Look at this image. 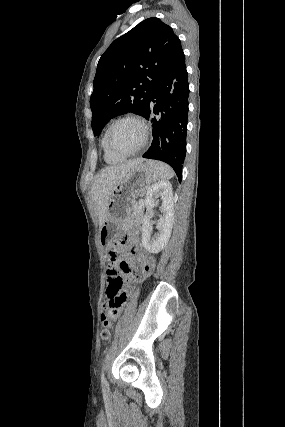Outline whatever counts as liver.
I'll use <instances>...</instances> for the list:
<instances>
[{
    "label": "liver",
    "mask_w": 285,
    "mask_h": 427,
    "mask_svg": "<svg viewBox=\"0 0 285 427\" xmlns=\"http://www.w3.org/2000/svg\"><path fill=\"white\" fill-rule=\"evenodd\" d=\"M141 162L143 159L129 160L123 164L104 168L99 172L90 192L98 215L99 228L105 222L111 194L125 180L131 169Z\"/></svg>",
    "instance_id": "liver-1"
}]
</instances>
